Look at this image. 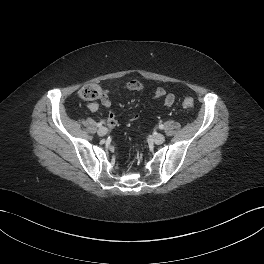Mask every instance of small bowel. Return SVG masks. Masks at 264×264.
Returning a JSON list of instances; mask_svg holds the SVG:
<instances>
[{
    "label": "small bowel",
    "mask_w": 264,
    "mask_h": 264,
    "mask_svg": "<svg viewBox=\"0 0 264 264\" xmlns=\"http://www.w3.org/2000/svg\"><path fill=\"white\" fill-rule=\"evenodd\" d=\"M145 88V84L140 80H128L120 83L114 84L110 90L103 96L100 103L92 102L88 104V109L91 111L98 110L100 104L104 107H110L111 99L109 97L110 93L119 92V91H142ZM153 98L160 99L163 98V105L166 109L172 107L175 101V97L173 94H168L164 88H157L152 93ZM107 123L109 126L113 127L116 125V115L113 110H111L108 114Z\"/></svg>",
    "instance_id": "small-bowel-1"
}]
</instances>
